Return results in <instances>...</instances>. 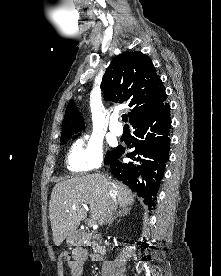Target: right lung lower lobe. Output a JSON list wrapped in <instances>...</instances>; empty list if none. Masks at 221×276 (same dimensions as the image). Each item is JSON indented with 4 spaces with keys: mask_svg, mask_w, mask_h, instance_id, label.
Here are the masks:
<instances>
[{
    "mask_svg": "<svg viewBox=\"0 0 221 276\" xmlns=\"http://www.w3.org/2000/svg\"><path fill=\"white\" fill-rule=\"evenodd\" d=\"M131 125L135 128L131 146L135 150L126 157L132 161H119L125 148L118 146L106 164L110 165L115 177L143 198L144 203L151 208L155 206L169 156L170 106L165 103L158 111L135 120Z\"/></svg>",
    "mask_w": 221,
    "mask_h": 276,
    "instance_id": "1",
    "label": "right lung lower lobe"
}]
</instances>
